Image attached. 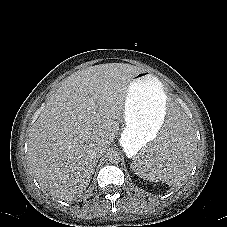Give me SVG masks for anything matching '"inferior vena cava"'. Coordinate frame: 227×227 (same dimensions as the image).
Listing matches in <instances>:
<instances>
[{"instance_id": "1", "label": "inferior vena cava", "mask_w": 227, "mask_h": 227, "mask_svg": "<svg viewBox=\"0 0 227 227\" xmlns=\"http://www.w3.org/2000/svg\"><path fill=\"white\" fill-rule=\"evenodd\" d=\"M107 145L105 143L98 144L94 147V156L99 158L101 157L106 151Z\"/></svg>"}]
</instances>
